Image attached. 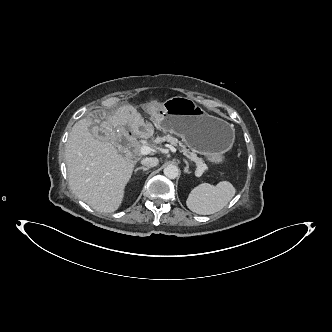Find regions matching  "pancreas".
Returning a JSON list of instances; mask_svg holds the SVG:
<instances>
[{
  "instance_id": "obj_1",
  "label": "pancreas",
  "mask_w": 332,
  "mask_h": 332,
  "mask_svg": "<svg viewBox=\"0 0 332 332\" xmlns=\"http://www.w3.org/2000/svg\"><path fill=\"white\" fill-rule=\"evenodd\" d=\"M169 142L174 146H180L181 152L186 154V157H188L191 161L195 162V165L197 166V170H203L205 171L207 169V165L203 162V160L195 154V152H190L185 145H183L177 138L173 137L172 135H164V136H157L153 142L154 143H162V142Z\"/></svg>"
}]
</instances>
